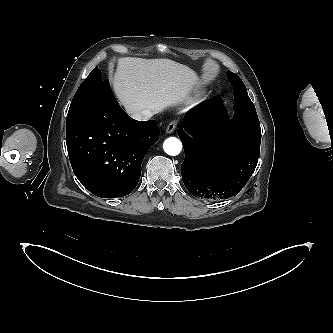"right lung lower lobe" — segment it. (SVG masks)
Returning a JSON list of instances; mask_svg holds the SVG:
<instances>
[{"label":"right lung lower lobe","mask_w":333,"mask_h":333,"mask_svg":"<svg viewBox=\"0 0 333 333\" xmlns=\"http://www.w3.org/2000/svg\"><path fill=\"white\" fill-rule=\"evenodd\" d=\"M155 120L129 117L109 84L86 112L67 124L66 144L74 174L102 198L130 194L141 175V163L159 137Z\"/></svg>","instance_id":"98d812e1"}]
</instances>
